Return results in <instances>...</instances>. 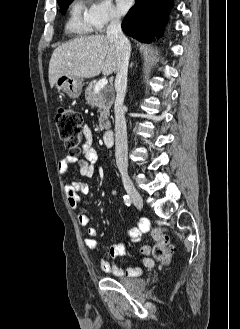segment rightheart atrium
I'll use <instances>...</instances> for the list:
<instances>
[{
	"instance_id": "1",
	"label": "right heart atrium",
	"mask_w": 240,
	"mask_h": 329,
	"mask_svg": "<svg viewBox=\"0 0 240 329\" xmlns=\"http://www.w3.org/2000/svg\"><path fill=\"white\" fill-rule=\"evenodd\" d=\"M90 23L97 32L119 22L120 17L109 0H94L88 12Z\"/></svg>"
}]
</instances>
